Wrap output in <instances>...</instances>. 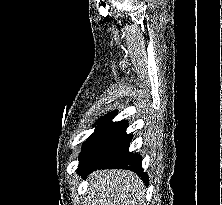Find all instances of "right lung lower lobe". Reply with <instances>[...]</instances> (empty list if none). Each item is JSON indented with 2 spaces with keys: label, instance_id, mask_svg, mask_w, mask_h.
<instances>
[{
  "label": "right lung lower lobe",
  "instance_id": "98d812e1",
  "mask_svg": "<svg viewBox=\"0 0 222 205\" xmlns=\"http://www.w3.org/2000/svg\"><path fill=\"white\" fill-rule=\"evenodd\" d=\"M115 114L116 112L106 115L86 140L80 153L77 172L86 177L96 169H128L148 183V175L142 169V157L128 150L133 137L126 133L128 123L125 120L112 122Z\"/></svg>",
  "mask_w": 222,
  "mask_h": 205
}]
</instances>
